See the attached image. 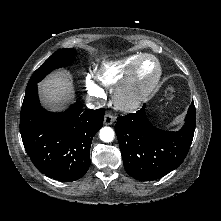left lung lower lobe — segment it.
<instances>
[{"instance_id":"left-lung-lower-lobe-1","label":"left lung lower lobe","mask_w":221,"mask_h":221,"mask_svg":"<svg viewBox=\"0 0 221 221\" xmlns=\"http://www.w3.org/2000/svg\"><path fill=\"white\" fill-rule=\"evenodd\" d=\"M196 111L190 105L185 125L176 132L151 125L145 106L136 113L119 116L115 125L124 168L140 181L159 179L180 166L193 140Z\"/></svg>"}]
</instances>
